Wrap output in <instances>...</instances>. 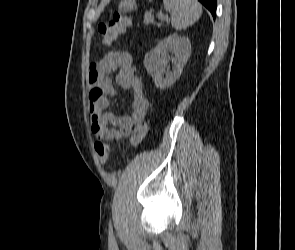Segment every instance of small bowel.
Instances as JSON below:
<instances>
[{"instance_id": "c3829d8e", "label": "small bowel", "mask_w": 295, "mask_h": 250, "mask_svg": "<svg viewBox=\"0 0 295 250\" xmlns=\"http://www.w3.org/2000/svg\"><path fill=\"white\" fill-rule=\"evenodd\" d=\"M113 73L115 83L132 95L127 115L117 116L107 110L116 94L110 78ZM88 82L91 130L97 142L116 143L128 139L132 144L134 127L144 122L150 103L141 79L135 74L131 54L126 51L106 54L90 65Z\"/></svg>"}]
</instances>
